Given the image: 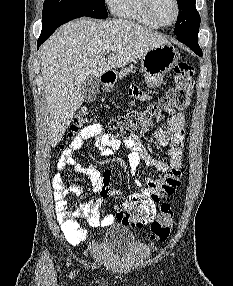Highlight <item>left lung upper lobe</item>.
Listing matches in <instances>:
<instances>
[{"label": "left lung upper lobe", "mask_w": 233, "mask_h": 286, "mask_svg": "<svg viewBox=\"0 0 233 286\" xmlns=\"http://www.w3.org/2000/svg\"><path fill=\"white\" fill-rule=\"evenodd\" d=\"M195 1L177 0L180 13L174 29L176 36L199 31L200 16L195 8Z\"/></svg>", "instance_id": "left-lung-upper-lobe-1"}]
</instances>
